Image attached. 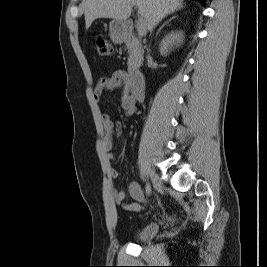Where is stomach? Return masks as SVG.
Segmentation results:
<instances>
[{"label": "stomach", "mask_w": 267, "mask_h": 267, "mask_svg": "<svg viewBox=\"0 0 267 267\" xmlns=\"http://www.w3.org/2000/svg\"><path fill=\"white\" fill-rule=\"evenodd\" d=\"M128 34V24L124 20L113 19L109 23V35L113 42H123Z\"/></svg>", "instance_id": "obj_1"}]
</instances>
